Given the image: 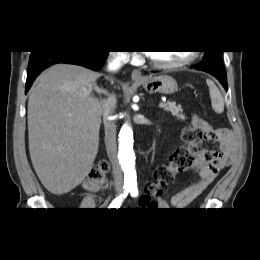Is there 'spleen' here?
Segmentation results:
<instances>
[{
	"mask_svg": "<svg viewBox=\"0 0 260 260\" xmlns=\"http://www.w3.org/2000/svg\"><path fill=\"white\" fill-rule=\"evenodd\" d=\"M206 83L209 87L212 109L218 114L223 113L224 99L222 97L221 92L219 91V89L217 88L215 83L213 81H211L210 79H207Z\"/></svg>",
	"mask_w": 260,
	"mask_h": 260,
	"instance_id": "1",
	"label": "spleen"
}]
</instances>
